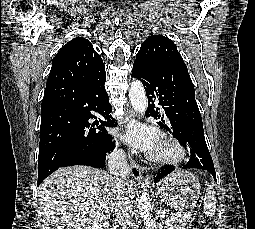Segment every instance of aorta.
<instances>
[{"label":"aorta","mask_w":255,"mask_h":229,"mask_svg":"<svg viewBox=\"0 0 255 229\" xmlns=\"http://www.w3.org/2000/svg\"><path fill=\"white\" fill-rule=\"evenodd\" d=\"M129 99L133 109L139 113H144L147 109V97L145 89L139 80L134 79L129 89ZM150 177L146 176L145 182L142 184V193L139 200V212L143 219L145 229H157L156 221L150 210V198L147 193V187L150 184Z\"/></svg>","instance_id":"1"}]
</instances>
